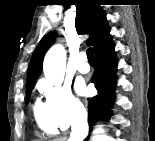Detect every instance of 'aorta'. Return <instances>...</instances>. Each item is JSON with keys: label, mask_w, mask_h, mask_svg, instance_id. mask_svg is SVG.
I'll list each match as a JSON object with an SVG mask.
<instances>
[{"label": "aorta", "mask_w": 155, "mask_h": 141, "mask_svg": "<svg viewBox=\"0 0 155 141\" xmlns=\"http://www.w3.org/2000/svg\"><path fill=\"white\" fill-rule=\"evenodd\" d=\"M66 67V51L62 45H54L46 53L43 62L45 78L53 85L61 84Z\"/></svg>", "instance_id": "aorta-1"}]
</instances>
